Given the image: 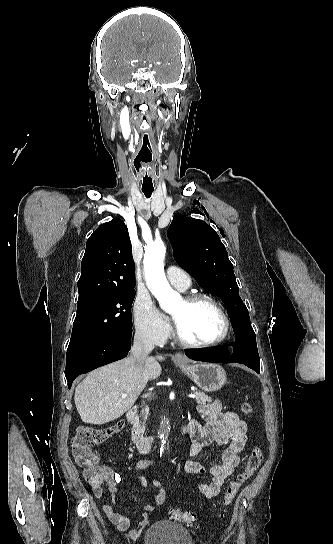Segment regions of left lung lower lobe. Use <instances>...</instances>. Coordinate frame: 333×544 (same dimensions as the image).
<instances>
[{"label": "left lung lower lobe", "mask_w": 333, "mask_h": 544, "mask_svg": "<svg viewBox=\"0 0 333 544\" xmlns=\"http://www.w3.org/2000/svg\"><path fill=\"white\" fill-rule=\"evenodd\" d=\"M186 356L193 359V360H200V361H213V362H219V363H232V362H238L245 364L246 366L250 367L257 373H259V355L255 348V345L252 349H242L241 350V356H236V352L233 353V355H228V351L226 347L219 346L214 349H204V350H198V349H186L185 350Z\"/></svg>", "instance_id": "0a47b994"}]
</instances>
